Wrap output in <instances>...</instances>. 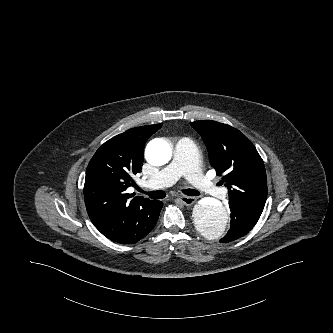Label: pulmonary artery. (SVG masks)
I'll list each match as a JSON object with an SVG mask.
<instances>
[{"label":"pulmonary artery","instance_id":"e3ab8cb5","mask_svg":"<svg viewBox=\"0 0 333 333\" xmlns=\"http://www.w3.org/2000/svg\"><path fill=\"white\" fill-rule=\"evenodd\" d=\"M186 177L188 181L200 192L213 196L225 193L211 180L206 178L198 165L197 148L194 142L186 137L181 138L174 150L173 160L157 175L150 178L145 186L151 188L168 187L176 183L180 177Z\"/></svg>","mask_w":333,"mask_h":333}]
</instances>
